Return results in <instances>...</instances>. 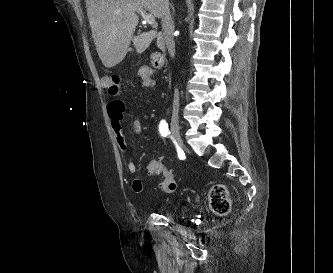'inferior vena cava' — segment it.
<instances>
[{"instance_id": "inferior-vena-cava-1", "label": "inferior vena cava", "mask_w": 333, "mask_h": 273, "mask_svg": "<svg viewBox=\"0 0 333 273\" xmlns=\"http://www.w3.org/2000/svg\"><path fill=\"white\" fill-rule=\"evenodd\" d=\"M159 7L161 13V23L164 40L169 54L172 58L175 56V43L173 40L174 24L169 10V0H159ZM179 110V92L175 89L173 98V111L178 113Z\"/></svg>"}]
</instances>
